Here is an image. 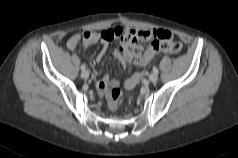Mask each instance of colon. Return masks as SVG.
<instances>
[{
    "instance_id": "colon-1",
    "label": "colon",
    "mask_w": 238,
    "mask_h": 158,
    "mask_svg": "<svg viewBox=\"0 0 238 158\" xmlns=\"http://www.w3.org/2000/svg\"><path fill=\"white\" fill-rule=\"evenodd\" d=\"M103 35L108 39L113 38L110 32H104ZM162 49L169 54H179L182 50V45L177 41L167 39L163 41ZM105 97L111 108H117L121 104L123 100V90L119 86L118 82L111 83L110 87L105 93Z\"/></svg>"
}]
</instances>
